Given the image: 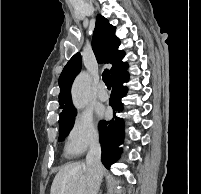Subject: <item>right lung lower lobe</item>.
<instances>
[{
    "mask_svg": "<svg viewBox=\"0 0 201 194\" xmlns=\"http://www.w3.org/2000/svg\"><path fill=\"white\" fill-rule=\"evenodd\" d=\"M128 68V67H127ZM127 68L112 77V93L110 96L109 105L113 108V112L122 109L121 98L127 93V87L122 84L127 82L129 74L126 72ZM124 121L115 116L111 121H101L99 125L100 143L102 147L101 160L103 165L110 169V166L115 163L121 154L122 149L118 148L123 142Z\"/></svg>",
    "mask_w": 201,
    "mask_h": 194,
    "instance_id": "1",
    "label": "right lung lower lobe"
}]
</instances>
